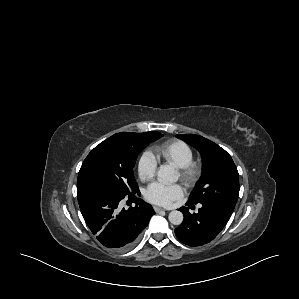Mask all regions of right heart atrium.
Segmentation results:
<instances>
[{"mask_svg":"<svg viewBox=\"0 0 299 299\" xmlns=\"http://www.w3.org/2000/svg\"><path fill=\"white\" fill-rule=\"evenodd\" d=\"M157 171V161L150 151H144L137 162V173L142 181L151 180Z\"/></svg>","mask_w":299,"mask_h":299,"instance_id":"right-heart-atrium-1","label":"right heart atrium"}]
</instances>
